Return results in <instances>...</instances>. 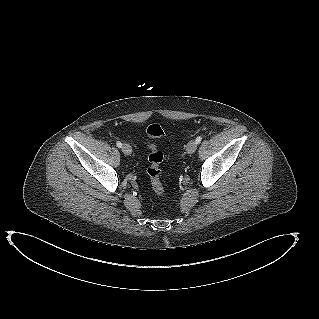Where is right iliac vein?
Here are the masks:
<instances>
[{"label":"right iliac vein","mask_w":319,"mask_h":319,"mask_svg":"<svg viewBox=\"0 0 319 319\" xmlns=\"http://www.w3.org/2000/svg\"><path fill=\"white\" fill-rule=\"evenodd\" d=\"M122 151L125 155H130L132 153V147L129 144H124L122 146Z\"/></svg>","instance_id":"1"}]
</instances>
